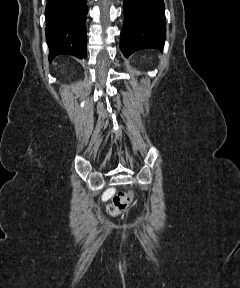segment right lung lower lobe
I'll use <instances>...</instances> for the list:
<instances>
[{
	"instance_id": "98d812e1",
	"label": "right lung lower lobe",
	"mask_w": 240,
	"mask_h": 288,
	"mask_svg": "<svg viewBox=\"0 0 240 288\" xmlns=\"http://www.w3.org/2000/svg\"><path fill=\"white\" fill-rule=\"evenodd\" d=\"M87 13L86 0H47L46 40L50 61L61 54L86 58Z\"/></svg>"
}]
</instances>
